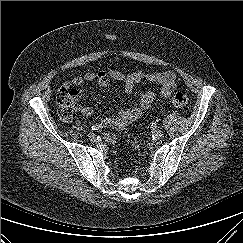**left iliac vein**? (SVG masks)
<instances>
[{
	"instance_id": "4c4485c4",
	"label": "left iliac vein",
	"mask_w": 243,
	"mask_h": 243,
	"mask_svg": "<svg viewBox=\"0 0 243 243\" xmlns=\"http://www.w3.org/2000/svg\"><path fill=\"white\" fill-rule=\"evenodd\" d=\"M163 137V132L161 130H155L153 132V138L155 140H160Z\"/></svg>"
}]
</instances>
